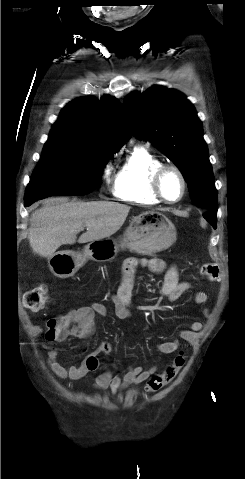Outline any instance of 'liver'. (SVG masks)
<instances>
[{"instance_id":"liver-1","label":"liver","mask_w":245,"mask_h":479,"mask_svg":"<svg viewBox=\"0 0 245 479\" xmlns=\"http://www.w3.org/2000/svg\"><path fill=\"white\" fill-rule=\"evenodd\" d=\"M130 206L109 201L68 202L53 198L35 210L30 217L29 243L33 252L48 259L62 245H72L77 233L87 231L79 243L108 238L124 224Z\"/></svg>"}]
</instances>
